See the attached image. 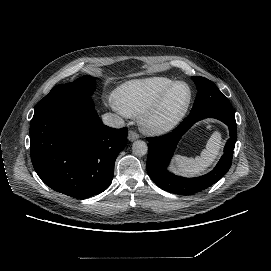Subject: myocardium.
Segmentation results:
<instances>
[{
  "mask_svg": "<svg viewBox=\"0 0 271 271\" xmlns=\"http://www.w3.org/2000/svg\"><path fill=\"white\" fill-rule=\"evenodd\" d=\"M179 84H186L190 89V96L184 107L175 115L167 120H160L159 114L164 109L172 91ZM194 100V89L191 84L185 80L174 81L160 96V98L143 114L142 125L151 133L159 134L170 131L176 127L187 115Z\"/></svg>",
  "mask_w": 271,
  "mask_h": 271,
  "instance_id": "1",
  "label": "myocardium"
}]
</instances>
